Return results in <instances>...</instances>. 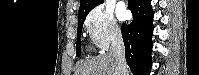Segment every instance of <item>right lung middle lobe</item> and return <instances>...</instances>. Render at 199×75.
Here are the masks:
<instances>
[{"label": "right lung middle lobe", "instance_id": "obj_1", "mask_svg": "<svg viewBox=\"0 0 199 75\" xmlns=\"http://www.w3.org/2000/svg\"><path fill=\"white\" fill-rule=\"evenodd\" d=\"M86 16H87V14L78 17V33H77V44H76V56H78V57L81 54L80 37H81L83 23H84Z\"/></svg>", "mask_w": 199, "mask_h": 75}]
</instances>
